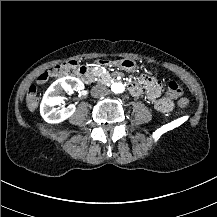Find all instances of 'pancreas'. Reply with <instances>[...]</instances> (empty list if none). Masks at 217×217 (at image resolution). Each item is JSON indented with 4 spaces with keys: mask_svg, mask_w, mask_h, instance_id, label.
I'll return each instance as SVG.
<instances>
[{
    "mask_svg": "<svg viewBox=\"0 0 217 217\" xmlns=\"http://www.w3.org/2000/svg\"><path fill=\"white\" fill-rule=\"evenodd\" d=\"M107 75H108L107 73L106 74H100V77L105 78Z\"/></svg>",
    "mask_w": 217,
    "mask_h": 217,
    "instance_id": "obj_1",
    "label": "pancreas"
}]
</instances>
